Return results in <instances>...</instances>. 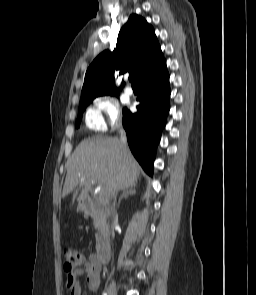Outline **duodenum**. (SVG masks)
Returning a JSON list of instances; mask_svg holds the SVG:
<instances>
[{
	"mask_svg": "<svg viewBox=\"0 0 256 295\" xmlns=\"http://www.w3.org/2000/svg\"><path fill=\"white\" fill-rule=\"evenodd\" d=\"M81 209L86 215L93 216L96 213L91 202L88 200H82L80 202ZM96 258L99 263L105 264L109 262L110 259V246L106 239L101 238L98 242L97 250H96Z\"/></svg>",
	"mask_w": 256,
	"mask_h": 295,
	"instance_id": "410a0bca",
	"label": "duodenum"
}]
</instances>
